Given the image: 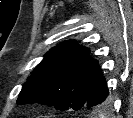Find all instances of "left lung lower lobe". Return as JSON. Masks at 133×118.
Segmentation results:
<instances>
[{"instance_id":"1","label":"left lung lower lobe","mask_w":133,"mask_h":118,"mask_svg":"<svg viewBox=\"0 0 133 118\" xmlns=\"http://www.w3.org/2000/svg\"><path fill=\"white\" fill-rule=\"evenodd\" d=\"M108 96V89L106 85V80L102 74L100 80L92 90L89 98L87 99L85 107H95L100 106L104 107L107 105L109 99Z\"/></svg>"}]
</instances>
